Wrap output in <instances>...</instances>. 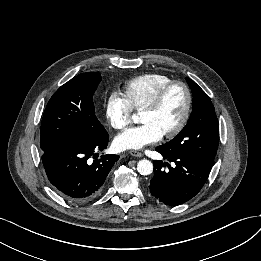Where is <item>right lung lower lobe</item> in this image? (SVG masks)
Returning a JSON list of instances; mask_svg holds the SVG:
<instances>
[{
	"mask_svg": "<svg viewBox=\"0 0 261 261\" xmlns=\"http://www.w3.org/2000/svg\"><path fill=\"white\" fill-rule=\"evenodd\" d=\"M108 133L101 137L73 140L42 155L47 177L58 194L67 201L85 202L101 190L119 155L105 154L95 158L108 144Z\"/></svg>",
	"mask_w": 261,
	"mask_h": 261,
	"instance_id": "98d812e1",
	"label": "right lung lower lobe"
}]
</instances>
